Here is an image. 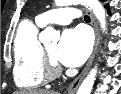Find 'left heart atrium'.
Returning <instances> with one entry per match:
<instances>
[{
    "label": "left heart atrium",
    "mask_w": 121,
    "mask_h": 94,
    "mask_svg": "<svg viewBox=\"0 0 121 94\" xmlns=\"http://www.w3.org/2000/svg\"><path fill=\"white\" fill-rule=\"evenodd\" d=\"M91 49L88 33L80 27L63 32L56 48L55 57L63 65L76 67L84 63Z\"/></svg>",
    "instance_id": "left-heart-atrium-1"
}]
</instances>
